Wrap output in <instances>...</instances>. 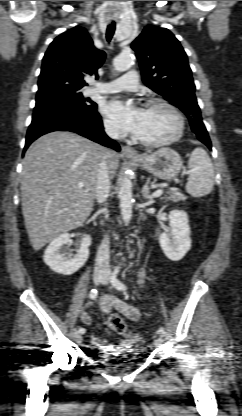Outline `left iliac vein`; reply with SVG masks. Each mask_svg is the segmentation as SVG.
Returning <instances> with one entry per match:
<instances>
[{
    "mask_svg": "<svg viewBox=\"0 0 242 416\" xmlns=\"http://www.w3.org/2000/svg\"><path fill=\"white\" fill-rule=\"evenodd\" d=\"M101 283H102L103 285H107V284L109 283V278H108L107 274L105 275V277H104V279L101 281ZM154 342H155V344H156L157 346L161 345V344L163 343V338H162V335H161V334H160V335L156 334V335H155V340H154Z\"/></svg>",
    "mask_w": 242,
    "mask_h": 416,
    "instance_id": "left-iliac-vein-1",
    "label": "left iliac vein"
}]
</instances>
